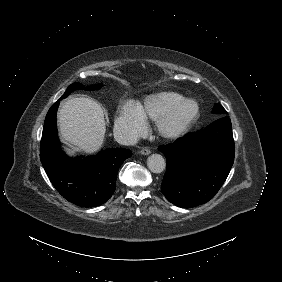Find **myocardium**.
Returning <instances> with one entry per match:
<instances>
[{"instance_id": "myocardium-1", "label": "myocardium", "mask_w": 282, "mask_h": 282, "mask_svg": "<svg viewBox=\"0 0 282 282\" xmlns=\"http://www.w3.org/2000/svg\"><path fill=\"white\" fill-rule=\"evenodd\" d=\"M189 99H182L173 105L159 120V128L163 135L174 137L179 135L189 124L198 117L197 113H185V107L191 104Z\"/></svg>"}]
</instances>
